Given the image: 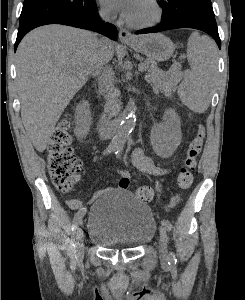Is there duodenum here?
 <instances>
[{
    "mask_svg": "<svg viewBox=\"0 0 245 300\" xmlns=\"http://www.w3.org/2000/svg\"><path fill=\"white\" fill-rule=\"evenodd\" d=\"M120 122L119 118L112 119L104 112H100L98 116L99 128L106 136L115 134L119 129Z\"/></svg>",
    "mask_w": 245,
    "mask_h": 300,
    "instance_id": "410a0bca",
    "label": "duodenum"
}]
</instances>
